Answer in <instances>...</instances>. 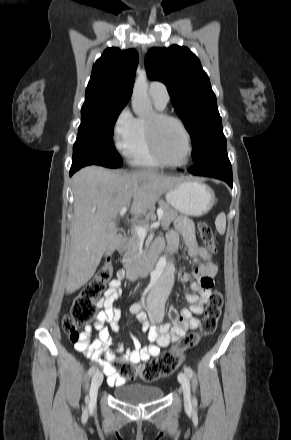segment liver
<instances>
[{
	"instance_id": "1",
	"label": "liver",
	"mask_w": 291,
	"mask_h": 440,
	"mask_svg": "<svg viewBox=\"0 0 291 440\" xmlns=\"http://www.w3.org/2000/svg\"><path fill=\"white\" fill-rule=\"evenodd\" d=\"M182 179L152 170L120 173L88 166L73 176L74 221L66 288L73 293L94 275L105 252L119 244L116 217L132 200L134 219L146 215L156 201Z\"/></svg>"
}]
</instances>
